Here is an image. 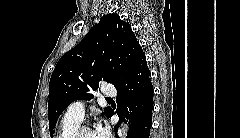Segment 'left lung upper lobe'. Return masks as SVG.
I'll return each instance as SVG.
<instances>
[{
	"label": "left lung upper lobe",
	"instance_id": "left-lung-upper-lobe-1",
	"mask_svg": "<svg viewBox=\"0 0 240 138\" xmlns=\"http://www.w3.org/2000/svg\"><path fill=\"white\" fill-rule=\"evenodd\" d=\"M142 51L131 25L118 14H107L82 41L58 61L49 84L48 119L51 136L60 114L75 100H90L99 81H123L137 54ZM111 109L105 108L109 115Z\"/></svg>",
	"mask_w": 240,
	"mask_h": 138
}]
</instances>
